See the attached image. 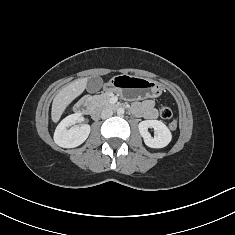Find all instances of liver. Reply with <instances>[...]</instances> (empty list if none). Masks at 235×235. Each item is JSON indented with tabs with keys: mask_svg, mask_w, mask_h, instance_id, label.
Segmentation results:
<instances>
[{
	"mask_svg": "<svg viewBox=\"0 0 235 235\" xmlns=\"http://www.w3.org/2000/svg\"><path fill=\"white\" fill-rule=\"evenodd\" d=\"M88 78L77 79L67 86L63 87L60 92L55 96L52 102L51 118L52 121L57 123L61 115L64 113L67 106L86 88Z\"/></svg>",
	"mask_w": 235,
	"mask_h": 235,
	"instance_id": "1",
	"label": "liver"
}]
</instances>
